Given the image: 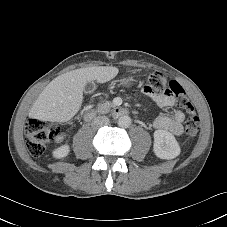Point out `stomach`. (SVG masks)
I'll list each match as a JSON object with an SVG mask.
<instances>
[{
	"instance_id": "stomach-1",
	"label": "stomach",
	"mask_w": 227,
	"mask_h": 227,
	"mask_svg": "<svg viewBox=\"0 0 227 227\" xmlns=\"http://www.w3.org/2000/svg\"><path fill=\"white\" fill-rule=\"evenodd\" d=\"M119 86L129 88L133 85L134 79L132 76L122 77L118 80Z\"/></svg>"
}]
</instances>
